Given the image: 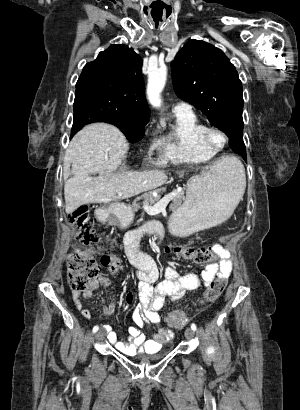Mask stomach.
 I'll use <instances>...</instances> for the list:
<instances>
[{"instance_id": "stomach-1", "label": "stomach", "mask_w": 300, "mask_h": 410, "mask_svg": "<svg viewBox=\"0 0 300 410\" xmlns=\"http://www.w3.org/2000/svg\"><path fill=\"white\" fill-rule=\"evenodd\" d=\"M230 157H223L224 161ZM235 171L213 165L201 175L192 177L187 183L186 199L170 218V228L177 236H189L225 222L239 202L235 187ZM121 228L133 220L130 205L113 203L101 210Z\"/></svg>"}]
</instances>
